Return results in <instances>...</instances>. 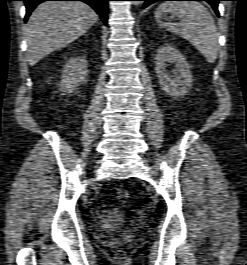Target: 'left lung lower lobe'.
Wrapping results in <instances>:
<instances>
[{"label": "left lung lower lobe", "mask_w": 247, "mask_h": 265, "mask_svg": "<svg viewBox=\"0 0 247 265\" xmlns=\"http://www.w3.org/2000/svg\"><path fill=\"white\" fill-rule=\"evenodd\" d=\"M139 1H144L143 8H146L147 6L157 2V1H170V0H139ZM195 1H206L208 2L212 8L214 9L215 13L219 16L218 12V3L219 1L223 0H195Z\"/></svg>", "instance_id": "left-lung-lower-lobe-1"}]
</instances>
